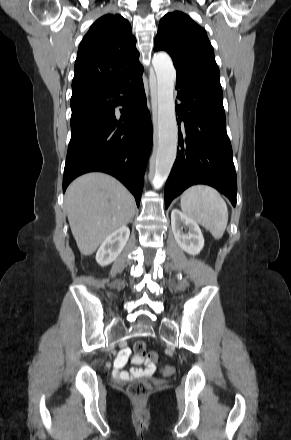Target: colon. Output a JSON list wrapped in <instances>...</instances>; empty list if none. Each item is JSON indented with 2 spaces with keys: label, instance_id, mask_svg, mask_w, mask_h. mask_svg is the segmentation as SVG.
<instances>
[{
  "label": "colon",
  "instance_id": "colon-1",
  "mask_svg": "<svg viewBox=\"0 0 291 440\" xmlns=\"http://www.w3.org/2000/svg\"><path fill=\"white\" fill-rule=\"evenodd\" d=\"M155 359L156 355L153 352L148 351L146 343L143 341H137L134 344V359H142L144 357ZM166 372V369H163ZM151 386L144 380H136L132 382L127 389L128 395L131 399L136 401L144 400L150 393Z\"/></svg>",
  "mask_w": 291,
  "mask_h": 440
}]
</instances>
